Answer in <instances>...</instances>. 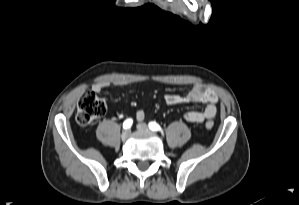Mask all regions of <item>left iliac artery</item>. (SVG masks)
I'll return each mask as SVG.
<instances>
[{
  "mask_svg": "<svg viewBox=\"0 0 299 205\" xmlns=\"http://www.w3.org/2000/svg\"><path fill=\"white\" fill-rule=\"evenodd\" d=\"M149 128L152 131H160L163 134V130L161 129V127L156 122H150L149 123Z\"/></svg>",
  "mask_w": 299,
  "mask_h": 205,
  "instance_id": "1",
  "label": "left iliac artery"
}]
</instances>
